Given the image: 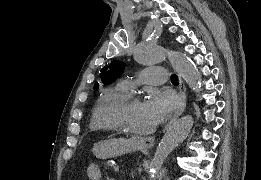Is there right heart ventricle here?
<instances>
[{"label": "right heart ventricle", "mask_w": 261, "mask_h": 180, "mask_svg": "<svg viewBox=\"0 0 261 180\" xmlns=\"http://www.w3.org/2000/svg\"><path fill=\"white\" fill-rule=\"evenodd\" d=\"M127 94V91L120 85L107 88L101 92L92 109L88 131L89 133H110V138L92 139H99L102 142L116 137L111 112Z\"/></svg>", "instance_id": "right-heart-ventricle-1"}]
</instances>
